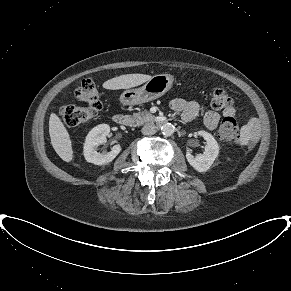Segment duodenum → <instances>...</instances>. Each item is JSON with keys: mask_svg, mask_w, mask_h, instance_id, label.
<instances>
[{"mask_svg": "<svg viewBox=\"0 0 291 291\" xmlns=\"http://www.w3.org/2000/svg\"><path fill=\"white\" fill-rule=\"evenodd\" d=\"M113 120L115 123H117L118 125H122V126H128L131 123V119L129 118V116L125 115V114H116L113 117ZM165 121L163 120H158L156 122V124L158 126L162 125Z\"/></svg>", "mask_w": 291, "mask_h": 291, "instance_id": "1", "label": "duodenum"}]
</instances>
